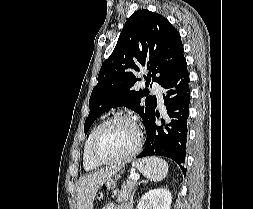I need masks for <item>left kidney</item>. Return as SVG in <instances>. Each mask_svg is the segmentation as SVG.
<instances>
[{
  "label": "left kidney",
  "mask_w": 253,
  "mask_h": 209,
  "mask_svg": "<svg viewBox=\"0 0 253 209\" xmlns=\"http://www.w3.org/2000/svg\"><path fill=\"white\" fill-rule=\"evenodd\" d=\"M172 195L165 188L153 189L145 193L136 209H170Z\"/></svg>",
  "instance_id": "left-kidney-1"
}]
</instances>
